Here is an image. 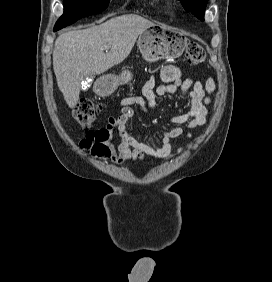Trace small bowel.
Listing matches in <instances>:
<instances>
[{"instance_id":"c3829d8e","label":"small bowel","mask_w":272,"mask_h":282,"mask_svg":"<svg viewBox=\"0 0 272 282\" xmlns=\"http://www.w3.org/2000/svg\"><path fill=\"white\" fill-rule=\"evenodd\" d=\"M161 78L165 82L155 89V81L149 79L143 86L142 92L147 103L139 97L128 98L122 102L119 115L110 118L108 129L111 136L117 137L119 142L113 146L111 160L115 164H122L128 160L142 161L145 154L155 158L167 159L171 156V140L182 134L181 124H187L188 129L193 130L205 125L207 122V105L210 103V95L215 89L212 78H208L205 84L200 81H193L190 78H182L179 68L176 66H165L161 71ZM180 92L183 99L189 102V110L181 115L171 118L175 127L171 131L160 133V148H153L133 138L126 130L128 121L134 112L130 107L138 104L144 112L154 110L158 105V97L167 93ZM190 136V134L188 135Z\"/></svg>"}]
</instances>
